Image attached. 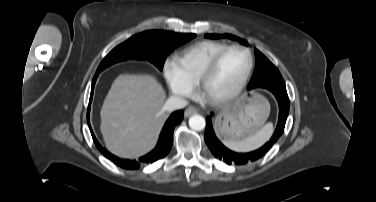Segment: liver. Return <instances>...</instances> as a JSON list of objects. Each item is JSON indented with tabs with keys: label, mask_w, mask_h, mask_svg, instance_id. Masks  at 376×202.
Segmentation results:
<instances>
[{
	"label": "liver",
	"mask_w": 376,
	"mask_h": 202,
	"mask_svg": "<svg viewBox=\"0 0 376 202\" xmlns=\"http://www.w3.org/2000/svg\"><path fill=\"white\" fill-rule=\"evenodd\" d=\"M165 93L153 75H119L102 108L101 132L106 148L121 158H137L156 144L167 115Z\"/></svg>",
	"instance_id": "1"
}]
</instances>
